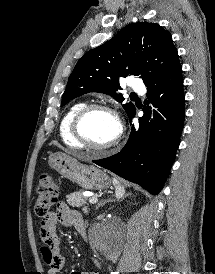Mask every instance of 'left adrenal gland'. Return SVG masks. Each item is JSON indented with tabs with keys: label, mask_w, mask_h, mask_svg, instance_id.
<instances>
[{
	"label": "left adrenal gland",
	"mask_w": 215,
	"mask_h": 274,
	"mask_svg": "<svg viewBox=\"0 0 215 274\" xmlns=\"http://www.w3.org/2000/svg\"><path fill=\"white\" fill-rule=\"evenodd\" d=\"M112 201H115V200H112V199L109 198L107 200L100 201L96 206V210H98L100 207L104 206L106 203L112 202Z\"/></svg>",
	"instance_id": "left-adrenal-gland-1"
}]
</instances>
